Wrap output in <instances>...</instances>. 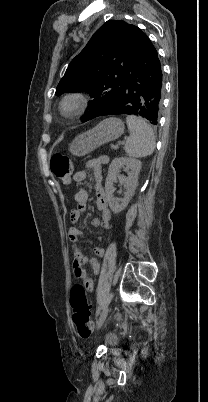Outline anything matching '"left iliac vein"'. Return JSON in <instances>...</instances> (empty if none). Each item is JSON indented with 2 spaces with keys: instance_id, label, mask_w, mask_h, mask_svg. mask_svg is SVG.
I'll list each match as a JSON object with an SVG mask.
<instances>
[{
  "instance_id": "left-iliac-vein-1",
  "label": "left iliac vein",
  "mask_w": 208,
  "mask_h": 402,
  "mask_svg": "<svg viewBox=\"0 0 208 402\" xmlns=\"http://www.w3.org/2000/svg\"><path fill=\"white\" fill-rule=\"evenodd\" d=\"M108 312H109V307L105 306L97 321V328H100L102 326V324L105 322Z\"/></svg>"
}]
</instances>
